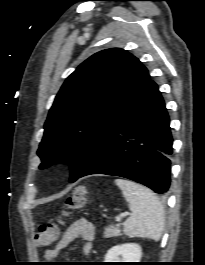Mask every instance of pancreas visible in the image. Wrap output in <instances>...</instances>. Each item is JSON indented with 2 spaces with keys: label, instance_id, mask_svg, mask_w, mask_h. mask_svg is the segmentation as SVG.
Returning <instances> with one entry per match:
<instances>
[{
  "label": "pancreas",
  "instance_id": "obj_1",
  "mask_svg": "<svg viewBox=\"0 0 205 265\" xmlns=\"http://www.w3.org/2000/svg\"><path fill=\"white\" fill-rule=\"evenodd\" d=\"M121 224H116V225H110L104 229V236L106 238L110 237H117L121 235V230H120Z\"/></svg>",
  "mask_w": 205,
  "mask_h": 265
}]
</instances>
